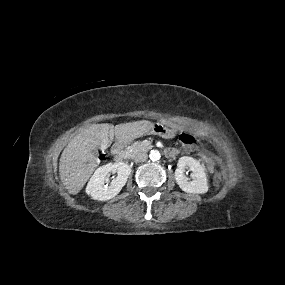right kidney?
Listing matches in <instances>:
<instances>
[{
  "instance_id": "1",
  "label": "right kidney",
  "mask_w": 285,
  "mask_h": 285,
  "mask_svg": "<svg viewBox=\"0 0 285 285\" xmlns=\"http://www.w3.org/2000/svg\"><path fill=\"white\" fill-rule=\"evenodd\" d=\"M115 173L117 177L112 180L110 185H105L108 182L109 175ZM130 173L129 165L124 162L103 165L90 178L86 187V193L98 201L112 199L121 191Z\"/></svg>"
}]
</instances>
